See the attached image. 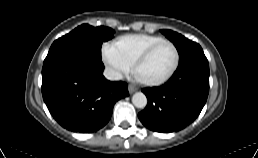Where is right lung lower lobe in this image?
I'll return each mask as SVG.
<instances>
[{
    "label": "right lung lower lobe",
    "instance_id": "obj_1",
    "mask_svg": "<svg viewBox=\"0 0 258 158\" xmlns=\"http://www.w3.org/2000/svg\"><path fill=\"white\" fill-rule=\"evenodd\" d=\"M101 59L63 52L46 57L42 95L52 116L71 131L94 132L111 118L115 102L128 96L127 84L104 78Z\"/></svg>",
    "mask_w": 258,
    "mask_h": 158
}]
</instances>
